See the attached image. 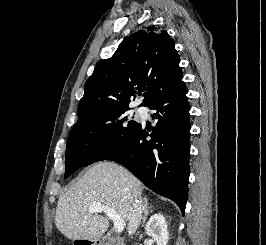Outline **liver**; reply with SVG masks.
I'll return each instance as SVG.
<instances>
[{
	"label": "liver",
	"instance_id": "liver-1",
	"mask_svg": "<svg viewBox=\"0 0 266 245\" xmlns=\"http://www.w3.org/2000/svg\"><path fill=\"white\" fill-rule=\"evenodd\" d=\"M142 183L116 163H97L60 197L55 225L67 239L93 241L106 233L105 217L90 211L92 203H101L116 211L125 223L130 221L132 197L141 193Z\"/></svg>",
	"mask_w": 266,
	"mask_h": 245
}]
</instances>
